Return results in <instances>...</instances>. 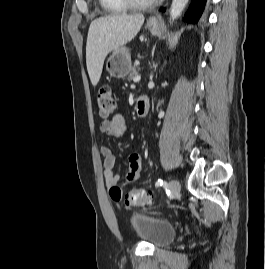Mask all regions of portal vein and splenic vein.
Masks as SVG:
<instances>
[{
	"label": "portal vein and splenic vein",
	"mask_w": 265,
	"mask_h": 269,
	"mask_svg": "<svg viewBox=\"0 0 265 269\" xmlns=\"http://www.w3.org/2000/svg\"><path fill=\"white\" fill-rule=\"evenodd\" d=\"M140 79H141V77H140V76H136V77H134L133 81H134L135 83H137V82H139V81H140Z\"/></svg>",
	"instance_id": "portal-vein-and-splenic-vein-1"
}]
</instances>
